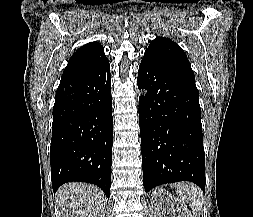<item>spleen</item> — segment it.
<instances>
[{
    "instance_id": "spleen-1",
    "label": "spleen",
    "mask_w": 253,
    "mask_h": 217,
    "mask_svg": "<svg viewBox=\"0 0 253 217\" xmlns=\"http://www.w3.org/2000/svg\"><path fill=\"white\" fill-rule=\"evenodd\" d=\"M175 188L176 194L191 206L193 214L197 217L203 205L202 191L195 184L189 182H180L175 185Z\"/></svg>"
}]
</instances>
